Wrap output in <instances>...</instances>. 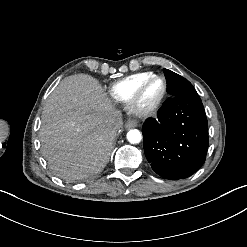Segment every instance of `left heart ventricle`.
<instances>
[{"instance_id":"b2bd125f","label":"left heart ventricle","mask_w":247,"mask_h":247,"mask_svg":"<svg viewBox=\"0 0 247 247\" xmlns=\"http://www.w3.org/2000/svg\"><path fill=\"white\" fill-rule=\"evenodd\" d=\"M164 91V83L160 80H153L149 82L143 89L141 95V104L143 106H150L155 103Z\"/></svg>"}]
</instances>
